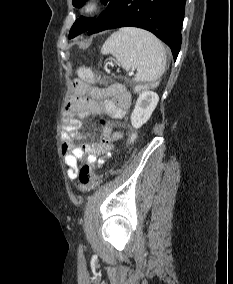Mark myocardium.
Masks as SVG:
<instances>
[{"label": "myocardium", "mask_w": 233, "mask_h": 284, "mask_svg": "<svg viewBox=\"0 0 233 284\" xmlns=\"http://www.w3.org/2000/svg\"><path fill=\"white\" fill-rule=\"evenodd\" d=\"M100 9V3L97 0H88L82 6V12L85 15H93Z\"/></svg>", "instance_id": "myocardium-1"}]
</instances>
